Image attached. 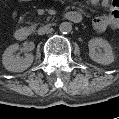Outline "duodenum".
<instances>
[{"mask_svg": "<svg viewBox=\"0 0 119 119\" xmlns=\"http://www.w3.org/2000/svg\"><path fill=\"white\" fill-rule=\"evenodd\" d=\"M64 17L74 23H79L82 20V15L79 12H68ZM14 36L17 40L23 41L28 37V31L25 28H18Z\"/></svg>", "mask_w": 119, "mask_h": 119, "instance_id": "obj_1", "label": "duodenum"}]
</instances>
